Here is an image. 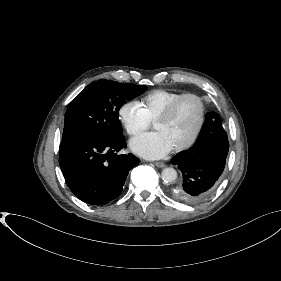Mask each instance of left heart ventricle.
<instances>
[{"label": "left heart ventricle", "instance_id": "1", "mask_svg": "<svg viewBox=\"0 0 281 281\" xmlns=\"http://www.w3.org/2000/svg\"><path fill=\"white\" fill-rule=\"evenodd\" d=\"M200 107L195 99L182 101L165 120L157 121L153 128L160 132L172 148L187 141L199 120Z\"/></svg>", "mask_w": 281, "mask_h": 281}]
</instances>
